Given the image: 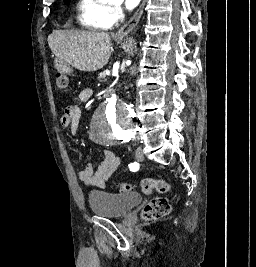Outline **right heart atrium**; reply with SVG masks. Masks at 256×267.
Instances as JSON below:
<instances>
[{"mask_svg": "<svg viewBox=\"0 0 256 267\" xmlns=\"http://www.w3.org/2000/svg\"><path fill=\"white\" fill-rule=\"evenodd\" d=\"M110 15L115 19L122 17V8L119 4H113L110 8Z\"/></svg>", "mask_w": 256, "mask_h": 267, "instance_id": "right-heart-atrium-1", "label": "right heart atrium"}]
</instances>
